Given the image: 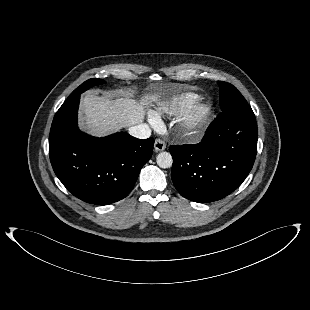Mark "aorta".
I'll list each match as a JSON object with an SVG mask.
<instances>
[{
	"instance_id": "obj_1",
	"label": "aorta",
	"mask_w": 310,
	"mask_h": 310,
	"mask_svg": "<svg viewBox=\"0 0 310 310\" xmlns=\"http://www.w3.org/2000/svg\"><path fill=\"white\" fill-rule=\"evenodd\" d=\"M157 165L160 168H170L173 163L172 156L169 152H160L156 157Z\"/></svg>"
}]
</instances>
